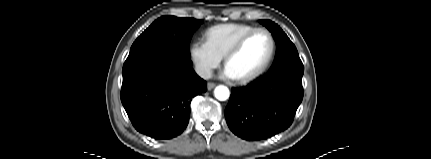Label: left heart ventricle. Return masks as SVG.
Here are the masks:
<instances>
[{"instance_id": "1", "label": "left heart ventricle", "mask_w": 431, "mask_h": 159, "mask_svg": "<svg viewBox=\"0 0 431 159\" xmlns=\"http://www.w3.org/2000/svg\"><path fill=\"white\" fill-rule=\"evenodd\" d=\"M271 50V41L267 34L257 33L245 44L243 49L233 57L227 68L235 78L244 77L257 71L267 60Z\"/></svg>"}]
</instances>
